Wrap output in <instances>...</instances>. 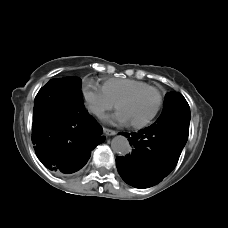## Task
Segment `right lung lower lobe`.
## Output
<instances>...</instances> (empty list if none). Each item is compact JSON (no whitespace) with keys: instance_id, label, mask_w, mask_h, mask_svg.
Returning <instances> with one entry per match:
<instances>
[{"instance_id":"obj_1","label":"right lung lower lobe","mask_w":228,"mask_h":228,"mask_svg":"<svg viewBox=\"0 0 228 228\" xmlns=\"http://www.w3.org/2000/svg\"><path fill=\"white\" fill-rule=\"evenodd\" d=\"M101 126L81 102H68L56 84L47 83L34 100L32 142L39 160L50 170L72 173L104 141Z\"/></svg>"}]
</instances>
